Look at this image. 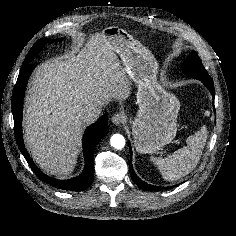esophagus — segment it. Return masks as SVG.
I'll list each match as a JSON object with an SVG mask.
<instances>
[{"label":"esophagus","instance_id":"esophagus-1","mask_svg":"<svg viewBox=\"0 0 236 236\" xmlns=\"http://www.w3.org/2000/svg\"><path fill=\"white\" fill-rule=\"evenodd\" d=\"M111 121L114 125H120L124 121V116L121 113H115Z\"/></svg>","mask_w":236,"mask_h":236}]
</instances>
